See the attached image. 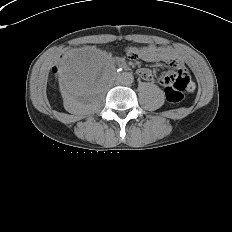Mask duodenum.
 Masks as SVG:
<instances>
[{
    "label": "duodenum",
    "mask_w": 232,
    "mask_h": 232,
    "mask_svg": "<svg viewBox=\"0 0 232 232\" xmlns=\"http://www.w3.org/2000/svg\"><path fill=\"white\" fill-rule=\"evenodd\" d=\"M118 67L122 68L123 70L128 69V66L126 64H119Z\"/></svg>",
    "instance_id": "410a0bca"
}]
</instances>
